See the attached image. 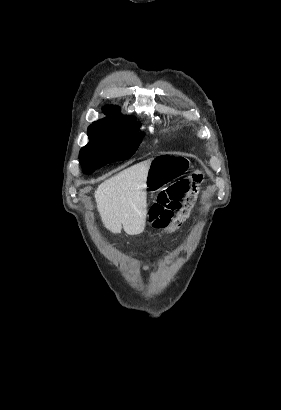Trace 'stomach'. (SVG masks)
<instances>
[{
	"label": "stomach",
	"mask_w": 281,
	"mask_h": 410,
	"mask_svg": "<svg viewBox=\"0 0 281 410\" xmlns=\"http://www.w3.org/2000/svg\"><path fill=\"white\" fill-rule=\"evenodd\" d=\"M189 167L190 162L184 156L170 153L158 155L151 160L146 187L151 191H159Z\"/></svg>",
	"instance_id": "0dacf381"
}]
</instances>
